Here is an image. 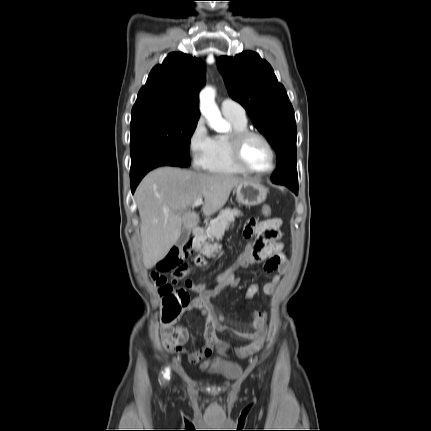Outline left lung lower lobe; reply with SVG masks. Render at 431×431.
Segmentation results:
<instances>
[{
	"label": "left lung lower lobe",
	"instance_id": "left-lung-lower-lobe-1",
	"mask_svg": "<svg viewBox=\"0 0 431 431\" xmlns=\"http://www.w3.org/2000/svg\"><path fill=\"white\" fill-rule=\"evenodd\" d=\"M291 190H293L296 194L298 193V185L296 186H288Z\"/></svg>",
	"mask_w": 431,
	"mask_h": 431
}]
</instances>
